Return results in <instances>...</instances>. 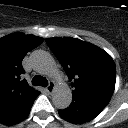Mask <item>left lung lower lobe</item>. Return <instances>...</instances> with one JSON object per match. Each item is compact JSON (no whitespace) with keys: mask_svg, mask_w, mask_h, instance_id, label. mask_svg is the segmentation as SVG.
<instances>
[{"mask_svg":"<svg viewBox=\"0 0 128 128\" xmlns=\"http://www.w3.org/2000/svg\"><path fill=\"white\" fill-rule=\"evenodd\" d=\"M107 104L100 101L73 99L70 107L60 110L59 115L71 123L81 124L98 116Z\"/></svg>","mask_w":128,"mask_h":128,"instance_id":"0a47b994","label":"left lung lower lobe"}]
</instances>
